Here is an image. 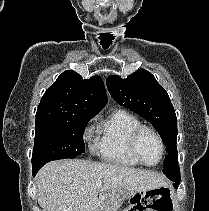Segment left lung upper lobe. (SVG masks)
Here are the masks:
<instances>
[{"instance_id": "left-lung-upper-lobe-1", "label": "left lung upper lobe", "mask_w": 209, "mask_h": 211, "mask_svg": "<svg viewBox=\"0 0 209 211\" xmlns=\"http://www.w3.org/2000/svg\"><path fill=\"white\" fill-rule=\"evenodd\" d=\"M106 84L117 103L148 120L158 131L166 146L163 173L180 174L176 147L177 119L165 89L145 69H139L126 79L111 75Z\"/></svg>"}]
</instances>
